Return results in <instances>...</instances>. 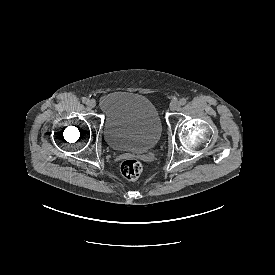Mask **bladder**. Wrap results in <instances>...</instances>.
I'll return each mask as SVG.
<instances>
[{
	"instance_id": "bladder-1",
	"label": "bladder",
	"mask_w": 275,
	"mask_h": 275,
	"mask_svg": "<svg viewBox=\"0 0 275 275\" xmlns=\"http://www.w3.org/2000/svg\"><path fill=\"white\" fill-rule=\"evenodd\" d=\"M104 117L103 135L115 150L143 152L154 147L161 136V121L155 106L144 96L112 92L99 99Z\"/></svg>"
}]
</instances>
